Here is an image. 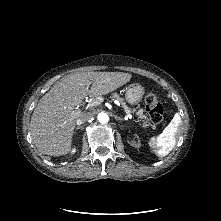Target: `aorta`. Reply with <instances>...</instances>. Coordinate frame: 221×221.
<instances>
[{
    "instance_id": "obj_1",
    "label": "aorta",
    "mask_w": 221,
    "mask_h": 221,
    "mask_svg": "<svg viewBox=\"0 0 221 221\" xmlns=\"http://www.w3.org/2000/svg\"><path fill=\"white\" fill-rule=\"evenodd\" d=\"M97 118L102 124H105L109 121V116L105 112H100Z\"/></svg>"
}]
</instances>
